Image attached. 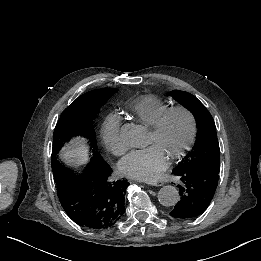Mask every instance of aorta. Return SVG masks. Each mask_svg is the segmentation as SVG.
Instances as JSON below:
<instances>
[{
	"instance_id": "1",
	"label": "aorta",
	"mask_w": 261,
	"mask_h": 261,
	"mask_svg": "<svg viewBox=\"0 0 261 261\" xmlns=\"http://www.w3.org/2000/svg\"><path fill=\"white\" fill-rule=\"evenodd\" d=\"M144 136L145 132L143 127L133 123L124 124L120 131L122 141L131 147L141 146ZM179 199V192L177 188L172 185L163 186L158 192V201L163 206H174Z\"/></svg>"
}]
</instances>
